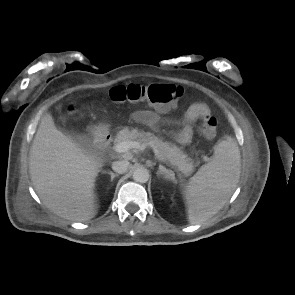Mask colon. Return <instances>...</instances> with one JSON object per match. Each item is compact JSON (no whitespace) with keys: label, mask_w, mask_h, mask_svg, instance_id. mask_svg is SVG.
<instances>
[{"label":"colon","mask_w":295,"mask_h":295,"mask_svg":"<svg viewBox=\"0 0 295 295\" xmlns=\"http://www.w3.org/2000/svg\"><path fill=\"white\" fill-rule=\"evenodd\" d=\"M183 95V89L172 84H130L115 86L109 90V97L114 102H144L162 111L175 105ZM70 110L73 111L74 107ZM216 128V118L208 114L202 118L199 131L203 136L211 138L216 134Z\"/></svg>","instance_id":"1"}]
</instances>
